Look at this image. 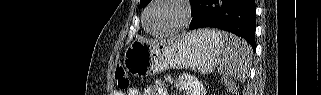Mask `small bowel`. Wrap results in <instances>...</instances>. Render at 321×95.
<instances>
[{
  "instance_id": "1",
  "label": "small bowel",
  "mask_w": 321,
  "mask_h": 95,
  "mask_svg": "<svg viewBox=\"0 0 321 95\" xmlns=\"http://www.w3.org/2000/svg\"><path fill=\"white\" fill-rule=\"evenodd\" d=\"M128 95H167L166 89L158 84H152L149 86L147 90H145L143 93L139 92L138 90L135 89H130L127 92ZM194 95H204V88L202 86H198L196 90H194Z\"/></svg>"
}]
</instances>
